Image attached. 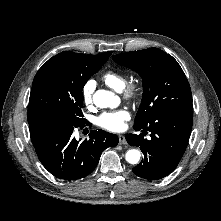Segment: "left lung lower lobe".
I'll return each instance as SVG.
<instances>
[{"label":"left lung lower lobe","mask_w":221,"mask_h":221,"mask_svg":"<svg viewBox=\"0 0 221 221\" xmlns=\"http://www.w3.org/2000/svg\"><path fill=\"white\" fill-rule=\"evenodd\" d=\"M192 111L163 112L144 127H134L142 133L150 132V140L142 134H127L129 145L140 147L144 159L132 171L139 177L156 180L169 175L180 162L192 130Z\"/></svg>","instance_id":"0a47b994"}]
</instances>
